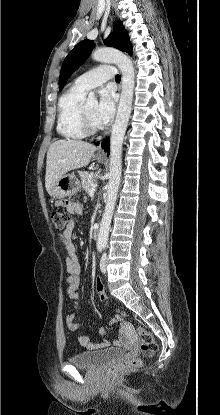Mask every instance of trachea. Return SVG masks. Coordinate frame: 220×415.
Segmentation results:
<instances>
[{"instance_id": "3493384b", "label": "trachea", "mask_w": 220, "mask_h": 415, "mask_svg": "<svg viewBox=\"0 0 220 415\" xmlns=\"http://www.w3.org/2000/svg\"><path fill=\"white\" fill-rule=\"evenodd\" d=\"M115 80H116L117 82H120V80H121L120 75H116Z\"/></svg>"}]
</instances>
